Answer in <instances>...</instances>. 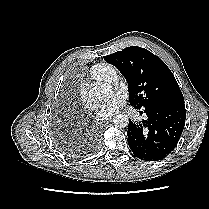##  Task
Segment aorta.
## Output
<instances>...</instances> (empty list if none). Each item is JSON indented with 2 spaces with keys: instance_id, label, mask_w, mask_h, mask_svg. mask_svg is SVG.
I'll return each mask as SVG.
<instances>
[{
  "instance_id": "aorta-1",
  "label": "aorta",
  "mask_w": 209,
  "mask_h": 209,
  "mask_svg": "<svg viewBox=\"0 0 209 209\" xmlns=\"http://www.w3.org/2000/svg\"><path fill=\"white\" fill-rule=\"evenodd\" d=\"M111 89L106 84H98L89 90V98L94 101H102L108 99ZM113 123L117 127L124 128L129 124V118L126 114H118L113 118Z\"/></svg>"
}]
</instances>
